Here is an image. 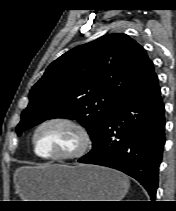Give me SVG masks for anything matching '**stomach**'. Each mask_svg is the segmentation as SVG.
Returning <instances> with one entry per match:
<instances>
[{
  "label": "stomach",
  "instance_id": "stomach-1",
  "mask_svg": "<svg viewBox=\"0 0 176 211\" xmlns=\"http://www.w3.org/2000/svg\"><path fill=\"white\" fill-rule=\"evenodd\" d=\"M15 184L25 201H120L129 188L123 173L86 164L23 167Z\"/></svg>",
  "mask_w": 176,
  "mask_h": 211
}]
</instances>
